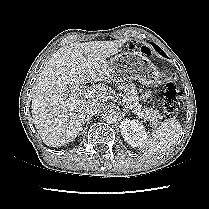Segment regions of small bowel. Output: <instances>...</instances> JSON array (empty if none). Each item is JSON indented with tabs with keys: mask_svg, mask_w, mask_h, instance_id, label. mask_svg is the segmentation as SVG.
<instances>
[{
	"mask_svg": "<svg viewBox=\"0 0 209 209\" xmlns=\"http://www.w3.org/2000/svg\"><path fill=\"white\" fill-rule=\"evenodd\" d=\"M149 96H150V94H149L148 92H146V93L143 95L144 99L149 98Z\"/></svg>",
	"mask_w": 209,
	"mask_h": 209,
	"instance_id": "obj_1",
	"label": "small bowel"
}]
</instances>
